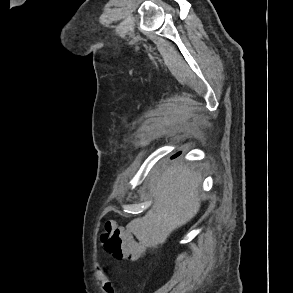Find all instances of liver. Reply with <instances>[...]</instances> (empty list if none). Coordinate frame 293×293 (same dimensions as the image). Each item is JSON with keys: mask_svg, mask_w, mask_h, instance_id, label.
Listing matches in <instances>:
<instances>
[{"mask_svg": "<svg viewBox=\"0 0 293 293\" xmlns=\"http://www.w3.org/2000/svg\"><path fill=\"white\" fill-rule=\"evenodd\" d=\"M201 174L183 164H173L150 178L152 208L145 216L132 220L128 229L150 247L166 242L170 234L189 222L200 209Z\"/></svg>", "mask_w": 293, "mask_h": 293, "instance_id": "6515ba94", "label": "liver"}]
</instances>
